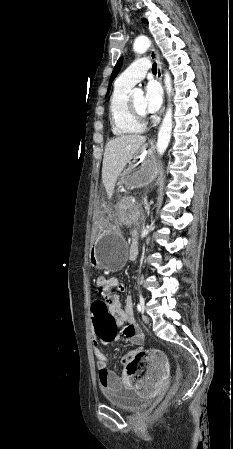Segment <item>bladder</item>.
Here are the masks:
<instances>
[{"label":"bladder","mask_w":233,"mask_h":449,"mask_svg":"<svg viewBox=\"0 0 233 449\" xmlns=\"http://www.w3.org/2000/svg\"><path fill=\"white\" fill-rule=\"evenodd\" d=\"M103 395L109 404L125 411H136L151 404V399L140 398L135 390L121 386L103 389Z\"/></svg>","instance_id":"1"}]
</instances>
